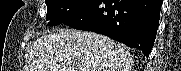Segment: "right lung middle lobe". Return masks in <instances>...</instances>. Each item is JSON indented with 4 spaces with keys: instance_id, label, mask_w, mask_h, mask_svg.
<instances>
[{
    "instance_id": "dd1d6c3e",
    "label": "right lung middle lobe",
    "mask_w": 181,
    "mask_h": 71,
    "mask_svg": "<svg viewBox=\"0 0 181 71\" xmlns=\"http://www.w3.org/2000/svg\"><path fill=\"white\" fill-rule=\"evenodd\" d=\"M94 0H46L49 26L63 23L81 10L90 5Z\"/></svg>"
}]
</instances>
